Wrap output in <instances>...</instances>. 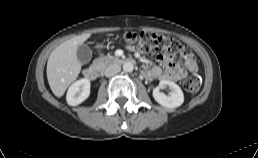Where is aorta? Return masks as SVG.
<instances>
[{
  "mask_svg": "<svg viewBox=\"0 0 258 158\" xmlns=\"http://www.w3.org/2000/svg\"><path fill=\"white\" fill-rule=\"evenodd\" d=\"M134 65L131 62H126L123 64V70L125 72H131L133 71Z\"/></svg>",
  "mask_w": 258,
  "mask_h": 158,
  "instance_id": "762f6f07",
  "label": "aorta"
}]
</instances>
